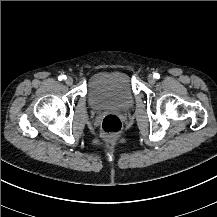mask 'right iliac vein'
Instances as JSON below:
<instances>
[{"label": "right iliac vein", "mask_w": 217, "mask_h": 217, "mask_svg": "<svg viewBox=\"0 0 217 217\" xmlns=\"http://www.w3.org/2000/svg\"><path fill=\"white\" fill-rule=\"evenodd\" d=\"M66 84H67V85H72V84H73V78H72V77H68V78L66 79Z\"/></svg>", "instance_id": "obj_1"}]
</instances>
